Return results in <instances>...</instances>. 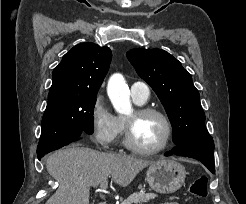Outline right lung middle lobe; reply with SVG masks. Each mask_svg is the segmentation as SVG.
<instances>
[{"label":"right lung middle lobe","mask_w":246,"mask_h":204,"mask_svg":"<svg viewBox=\"0 0 246 204\" xmlns=\"http://www.w3.org/2000/svg\"><path fill=\"white\" fill-rule=\"evenodd\" d=\"M96 94L68 96L48 101L42 119L37 156L59 149L84 133H93Z\"/></svg>","instance_id":"right-lung-middle-lobe-1"}]
</instances>
